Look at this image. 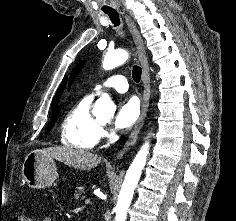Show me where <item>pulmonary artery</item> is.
Returning a JSON list of instances; mask_svg holds the SVG:
<instances>
[{
  "mask_svg": "<svg viewBox=\"0 0 236 221\" xmlns=\"http://www.w3.org/2000/svg\"><path fill=\"white\" fill-rule=\"evenodd\" d=\"M108 88L114 89L120 93L126 92L128 90L127 79L119 74L112 75L106 80H104L102 83L96 85L91 95H98L104 89Z\"/></svg>",
  "mask_w": 236,
  "mask_h": 221,
  "instance_id": "e3ab8cb5",
  "label": "pulmonary artery"
}]
</instances>
